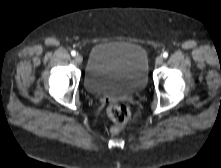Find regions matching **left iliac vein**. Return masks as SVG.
<instances>
[{"label":"left iliac vein","mask_w":221,"mask_h":168,"mask_svg":"<svg viewBox=\"0 0 221 168\" xmlns=\"http://www.w3.org/2000/svg\"><path fill=\"white\" fill-rule=\"evenodd\" d=\"M163 57L162 56H158L157 58H156V64L157 65H161L162 63H163Z\"/></svg>","instance_id":"obj_1"}]
</instances>
